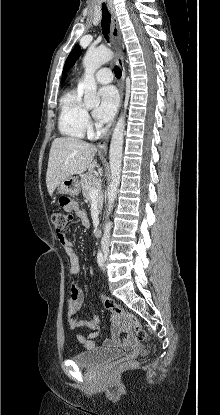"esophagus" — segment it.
<instances>
[{
	"mask_svg": "<svg viewBox=\"0 0 220 415\" xmlns=\"http://www.w3.org/2000/svg\"><path fill=\"white\" fill-rule=\"evenodd\" d=\"M108 7L111 13V38H112V43L114 45L116 55H117L116 62L119 65L121 72H122V75H121V78L118 84L119 94H120V106L119 107H121L123 97H124V84H125V76H126L125 65H124V55H123V45L121 42L120 29H119V24H118V19L116 16L115 9L111 3H109ZM114 123L112 127L107 131L103 139L98 143V150H99V153L101 154H105L107 152V145H108L109 137L111 135Z\"/></svg>",
	"mask_w": 220,
	"mask_h": 415,
	"instance_id": "1",
	"label": "esophagus"
}]
</instances>
